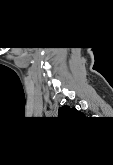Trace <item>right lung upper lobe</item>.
<instances>
[{
	"label": "right lung upper lobe",
	"instance_id": "right-lung-upper-lobe-1",
	"mask_svg": "<svg viewBox=\"0 0 113 165\" xmlns=\"http://www.w3.org/2000/svg\"><path fill=\"white\" fill-rule=\"evenodd\" d=\"M81 112L76 110L75 108H71L69 106H63L59 108V117H72V116H79Z\"/></svg>",
	"mask_w": 113,
	"mask_h": 165
}]
</instances>
